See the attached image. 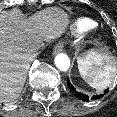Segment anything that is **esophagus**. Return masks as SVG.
Listing matches in <instances>:
<instances>
[{
  "label": "esophagus",
  "instance_id": "1",
  "mask_svg": "<svg viewBox=\"0 0 117 117\" xmlns=\"http://www.w3.org/2000/svg\"><path fill=\"white\" fill-rule=\"evenodd\" d=\"M63 48H64V44L62 42H59L54 46L53 53L57 54V53L61 52L63 50Z\"/></svg>",
  "mask_w": 117,
  "mask_h": 117
}]
</instances>
